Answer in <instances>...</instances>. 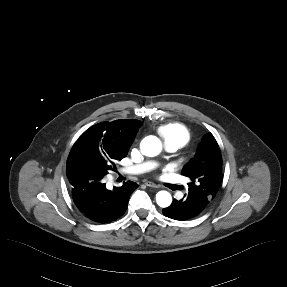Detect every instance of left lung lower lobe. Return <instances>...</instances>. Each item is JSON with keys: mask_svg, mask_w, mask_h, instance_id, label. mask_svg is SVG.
Instances as JSON below:
<instances>
[{"mask_svg": "<svg viewBox=\"0 0 287 287\" xmlns=\"http://www.w3.org/2000/svg\"><path fill=\"white\" fill-rule=\"evenodd\" d=\"M206 206L196 198L185 195L179 201L174 199L169 207L163 209V214L175 220H187L198 216Z\"/></svg>", "mask_w": 287, "mask_h": 287, "instance_id": "left-lung-lower-lobe-1", "label": "left lung lower lobe"}]
</instances>
